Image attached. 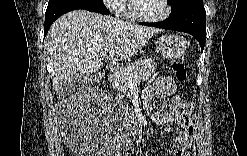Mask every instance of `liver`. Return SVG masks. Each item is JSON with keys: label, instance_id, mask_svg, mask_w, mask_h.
Returning <instances> with one entry per match:
<instances>
[{"label": "liver", "instance_id": "6515ba94", "mask_svg": "<svg viewBox=\"0 0 247 156\" xmlns=\"http://www.w3.org/2000/svg\"><path fill=\"white\" fill-rule=\"evenodd\" d=\"M158 31L86 10L66 13L50 27L45 42L54 91L74 76L96 73L104 59L116 62L137 54Z\"/></svg>", "mask_w": 247, "mask_h": 156}]
</instances>
